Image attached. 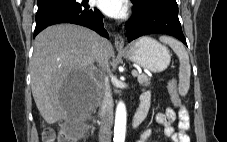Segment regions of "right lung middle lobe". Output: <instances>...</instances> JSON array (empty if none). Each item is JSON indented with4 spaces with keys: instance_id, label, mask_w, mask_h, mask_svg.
<instances>
[{
    "instance_id": "right-lung-middle-lobe-1",
    "label": "right lung middle lobe",
    "mask_w": 227,
    "mask_h": 142,
    "mask_svg": "<svg viewBox=\"0 0 227 142\" xmlns=\"http://www.w3.org/2000/svg\"><path fill=\"white\" fill-rule=\"evenodd\" d=\"M72 1L74 0H38V8L50 6L58 3H63V2H72Z\"/></svg>"
}]
</instances>
